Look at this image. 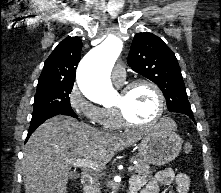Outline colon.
<instances>
[{
	"label": "colon",
	"mask_w": 221,
	"mask_h": 193,
	"mask_svg": "<svg viewBox=\"0 0 221 193\" xmlns=\"http://www.w3.org/2000/svg\"><path fill=\"white\" fill-rule=\"evenodd\" d=\"M184 150H185L186 152L190 153V152L193 150L192 144L186 143V144L184 145Z\"/></svg>",
	"instance_id": "colon-1"
}]
</instances>
